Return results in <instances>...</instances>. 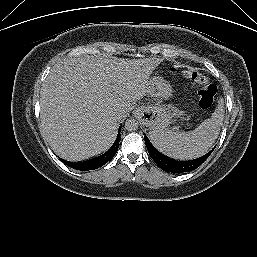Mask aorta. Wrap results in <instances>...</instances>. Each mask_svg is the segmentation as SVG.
I'll list each match as a JSON object with an SVG mask.
<instances>
[{
    "instance_id": "obj_1",
    "label": "aorta",
    "mask_w": 257,
    "mask_h": 257,
    "mask_svg": "<svg viewBox=\"0 0 257 257\" xmlns=\"http://www.w3.org/2000/svg\"><path fill=\"white\" fill-rule=\"evenodd\" d=\"M138 121L135 120V119H127L126 122H125V128L128 130V131H136L138 129Z\"/></svg>"
}]
</instances>
